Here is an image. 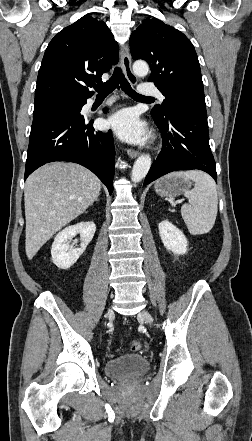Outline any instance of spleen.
I'll return each instance as SVG.
<instances>
[{"label":"spleen","instance_id":"3e777b00","mask_svg":"<svg viewBox=\"0 0 252 441\" xmlns=\"http://www.w3.org/2000/svg\"><path fill=\"white\" fill-rule=\"evenodd\" d=\"M169 177H180L195 182L192 190L184 191L189 205L182 206L181 215L190 234L208 233L214 226L218 211L217 189L213 178L198 170L174 172Z\"/></svg>","mask_w":252,"mask_h":441}]
</instances>
